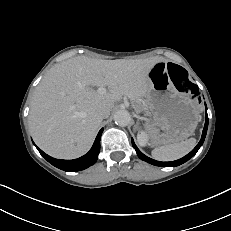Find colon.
Instances as JSON below:
<instances>
[{
	"label": "colon",
	"mask_w": 231,
	"mask_h": 231,
	"mask_svg": "<svg viewBox=\"0 0 231 231\" xmlns=\"http://www.w3.org/2000/svg\"><path fill=\"white\" fill-rule=\"evenodd\" d=\"M167 70L173 84L179 92L188 95L196 93L194 84L189 79L187 72L181 66L170 63L167 66Z\"/></svg>",
	"instance_id": "obj_1"
}]
</instances>
